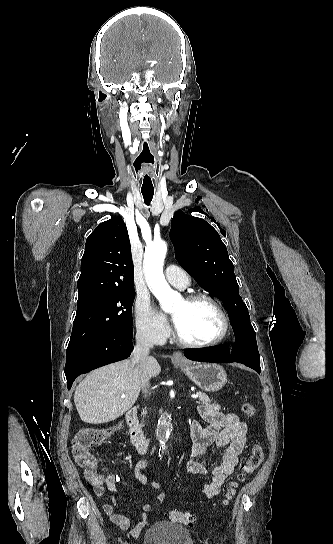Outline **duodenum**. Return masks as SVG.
<instances>
[{"label": "duodenum", "mask_w": 333, "mask_h": 544, "mask_svg": "<svg viewBox=\"0 0 333 544\" xmlns=\"http://www.w3.org/2000/svg\"><path fill=\"white\" fill-rule=\"evenodd\" d=\"M125 419L128 426L129 437L132 446L140 454L147 453L150 450L152 440L150 437H147L139 427L137 408H130L126 412Z\"/></svg>", "instance_id": "410a0bca"}]
</instances>
